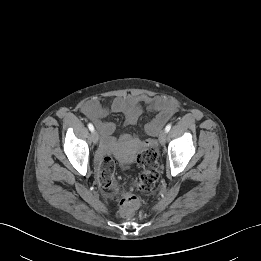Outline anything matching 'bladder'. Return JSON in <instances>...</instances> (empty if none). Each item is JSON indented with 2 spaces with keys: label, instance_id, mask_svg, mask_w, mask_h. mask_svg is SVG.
<instances>
[{
  "label": "bladder",
  "instance_id": "31cf9c89",
  "mask_svg": "<svg viewBox=\"0 0 261 261\" xmlns=\"http://www.w3.org/2000/svg\"><path fill=\"white\" fill-rule=\"evenodd\" d=\"M128 139V138H127ZM135 150L131 151V152H126L125 150H123L122 148L117 149L116 153H117V158L121 163H128L130 162V160L133 158V156L135 155Z\"/></svg>",
  "mask_w": 261,
  "mask_h": 261
}]
</instances>
